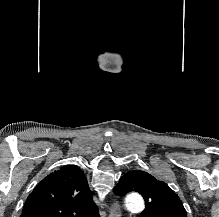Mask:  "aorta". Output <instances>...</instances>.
<instances>
[{"mask_svg": "<svg viewBox=\"0 0 219 217\" xmlns=\"http://www.w3.org/2000/svg\"><path fill=\"white\" fill-rule=\"evenodd\" d=\"M125 206L132 212H140L145 207L143 198L137 194L127 196Z\"/></svg>", "mask_w": 219, "mask_h": 217, "instance_id": "762f6f07", "label": "aorta"}]
</instances>
